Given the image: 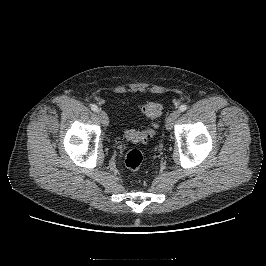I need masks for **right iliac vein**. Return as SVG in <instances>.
<instances>
[{"label":"right iliac vein","mask_w":266,"mask_h":266,"mask_svg":"<svg viewBox=\"0 0 266 266\" xmlns=\"http://www.w3.org/2000/svg\"><path fill=\"white\" fill-rule=\"evenodd\" d=\"M98 116H99V118H100L102 124H103L104 126H108V124H109V118H108L106 112L103 111V110H99V111H98Z\"/></svg>","instance_id":"1"}]
</instances>
